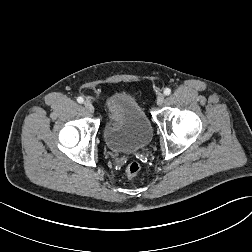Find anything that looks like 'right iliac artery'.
Here are the masks:
<instances>
[{"label":"right iliac artery","instance_id":"1","mask_svg":"<svg viewBox=\"0 0 252 252\" xmlns=\"http://www.w3.org/2000/svg\"><path fill=\"white\" fill-rule=\"evenodd\" d=\"M78 103H83L84 99L82 97L77 98Z\"/></svg>","mask_w":252,"mask_h":252}]
</instances>
